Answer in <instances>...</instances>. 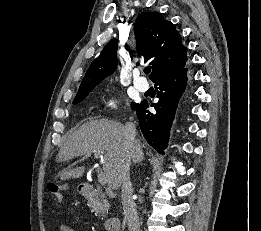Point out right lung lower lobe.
<instances>
[{
  "mask_svg": "<svg viewBox=\"0 0 261 231\" xmlns=\"http://www.w3.org/2000/svg\"><path fill=\"white\" fill-rule=\"evenodd\" d=\"M188 75L189 71L187 67H184L154 81L159 98L157 103L151 104L156 110L155 114L146 110L145 103L136 104L132 108L136 110L139 125L146 141L160 154H164V149L167 147L171 125L179 100L186 87Z\"/></svg>",
  "mask_w": 261,
  "mask_h": 231,
  "instance_id": "98d812e1",
  "label": "right lung lower lobe"
}]
</instances>
